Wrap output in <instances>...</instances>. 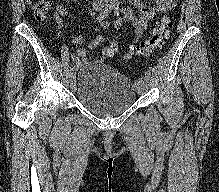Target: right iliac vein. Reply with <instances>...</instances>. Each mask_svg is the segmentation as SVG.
I'll return each instance as SVG.
<instances>
[{
	"mask_svg": "<svg viewBox=\"0 0 219 192\" xmlns=\"http://www.w3.org/2000/svg\"><path fill=\"white\" fill-rule=\"evenodd\" d=\"M75 77H76V73H75L74 70H72V71L70 72V80H71V82H73V81L75 80Z\"/></svg>",
	"mask_w": 219,
	"mask_h": 192,
	"instance_id": "1",
	"label": "right iliac vein"
}]
</instances>
